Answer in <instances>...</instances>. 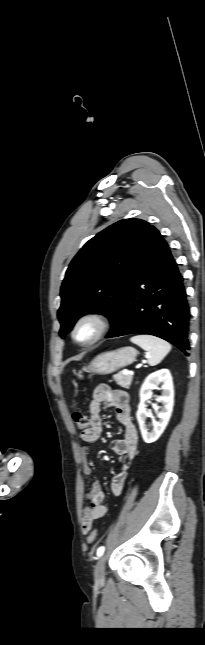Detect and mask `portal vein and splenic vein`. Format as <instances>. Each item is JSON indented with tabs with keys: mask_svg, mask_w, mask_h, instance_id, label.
I'll use <instances>...</instances> for the list:
<instances>
[{
	"mask_svg": "<svg viewBox=\"0 0 205 645\" xmlns=\"http://www.w3.org/2000/svg\"><path fill=\"white\" fill-rule=\"evenodd\" d=\"M123 374H124V375H128V374H133V372H130V371H128V370H124V371H123Z\"/></svg>",
	"mask_w": 205,
	"mask_h": 645,
	"instance_id": "portal-vein-and-splenic-vein-1",
	"label": "portal vein and splenic vein"
}]
</instances>
